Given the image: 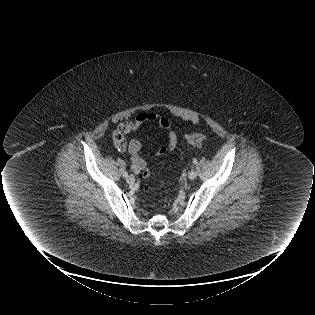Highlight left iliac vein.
Segmentation results:
<instances>
[{
  "instance_id": "4c4485c4",
  "label": "left iliac vein",
  "mask_w": 315,
  "mask_h": 315,
  "mask_svg": "<svg viewBox=\"0 0 315 315\" xmlns=\"http://www.w3.org/2000/svg\"><path fill=\"white\" fill-rule=\"evenodd\" d=\"M196 176H197L196 170L192 169V170L189 171V173H188V178H189L190 180H194V179L196 178Z\"/></svg>"
}]
</instances>
